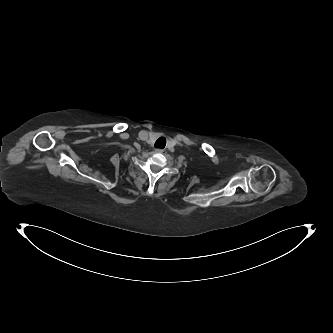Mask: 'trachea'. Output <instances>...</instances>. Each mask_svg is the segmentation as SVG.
Returning a JSON list of instances; mask_svg holds the SVG:
<instances>
[{
	"mask_svg": "<svg viewBox=\"0 0 333 333\" xmlns=\"http://www.w3.org/2000/svg\"><path fill=\"white\" fill-rule=\"evenodd\" d=\"M154 146L163 149L166 146V139L164 137L157 139Z\"/></svg>",
	"mask_w": 333,
	"mask_h": 333,
	"instance_id": "3493384b",
	"label": "trachea"
}]
</instances>
